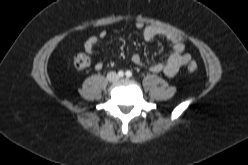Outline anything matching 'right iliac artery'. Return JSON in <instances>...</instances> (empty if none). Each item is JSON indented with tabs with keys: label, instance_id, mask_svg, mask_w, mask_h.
<instances>
[{
	"label": "right iliac artery",
	"instance_id": "1",
	"mask_svg": "<svg viewBox=\"0 0 248 165\" xmlns=\"http://www.w3.org/2000/svg\"><path fill=\"white\" fill-rule=\"evenodd\" d=\"M118 76H119V77H123V76H124V72H123V71H119V72H118Z\"/></svg>",
	"mask_w": 248,
	"mask_h": 165
}]
</instances>
